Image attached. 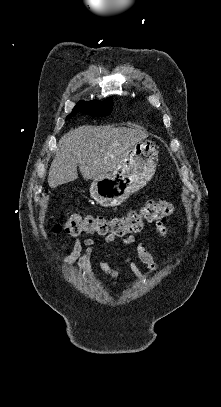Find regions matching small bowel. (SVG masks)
Listing matches in <instances>:
<instances>
[{
    "mask_svg": "<svg viewBox=\"0 0 221 407\" xmlns=\"http://www.w3.org/2000/svg\"><path fill=\"white\" fill-rule=\"evenodd\" d=\"M155 230L157 234L164 240L168 241L170 238L169 229L166 226L164 220H159L155 223ZM116 240L114 236H107L102 243L99 245V250L105 249L108 245L113 243ZM137 240L135 235H129L123 241H121L114 249V253L117 256H121V251L127 245L135 243ZM96 249V243L91 238L85 239H76L73 243L66 241L63 250L68 251L69 255L66 257V264H71L74 261H78V268L80 276L90 281L94 284L95 287H98L100 283L96 279L95 273L91 266V257ZM137 254L142 262L146 266V268L150 271L155 273L158 269L157 263L155 261L154 255L147 247V245L143 242L137 245ZM131 266L133 272L135 273L137 278H140V271L135 264V262L129 257H123ZM100 266L105 271L106 274L113 277L115 280L118 278L119 274L117 271L110 268V266L103 260H100Z\"/></svg>",
    "mask_w": 221,
    "mask_h": 407,
    "instance_id": "c3829d8e",
    "label": "small bowel"
}]
</instances>
